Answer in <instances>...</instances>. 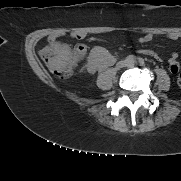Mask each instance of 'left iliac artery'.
Returning <instances> with one entry per match:
<instances>
[{
    "instance_id": "1",
    "label": "left iliac artery",
    "mask_w": 181,
    "mask_h": 181,
    "mask_svg": "<svg viewBox=\"0 0 181 181\" xmlns=\"http://www.w3.org/2000/svg\"><path fill=\"white\" fill-rule=\"evenodd\" d=\"M137 62H138V64L141 65V66L144 65V63H145L142 58H139Z\"/></svg>"
}]
</instances>
